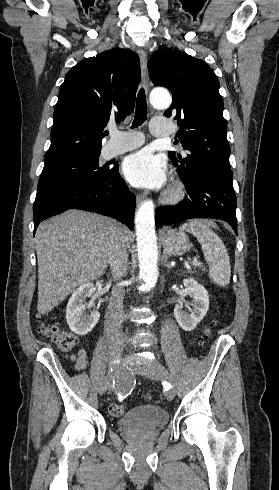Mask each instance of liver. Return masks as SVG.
I'll return each mask as SVG.
<instances>
[{
	"label": "liver",
	"instance_id": "liver-1",
	"mask_svg": "<svg viewBox=\"0 0 279 490\" xmlns=\"http://www.w3.org/2000/svg\"><path fill=\"white\" fill-rule=\"evenodd\" d=\"M118 230L130 244L126 226L81 210H67L39 224L35 234L39 314L51 312L75 288L103 276Z\"/></svg>",
	"mask_w": 279,
	"mask_h": 490
}]
</instances>
